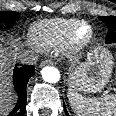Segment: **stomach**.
Here are the masks:
<instances>
[{"mask_svg":"<svg viewBox=\"0 0 116 116\" xmlns=\"http://www.w3.org/2000/svg\"><path fill=\"white\" fill-rule=\"evenodd\" d=\"M113 58L104 48L96 47L87 54L85 62L69 74V86L75 91L99 92L110 80Z\"/></svg>","mask_w":116,"mask_h":116,"instance_id":"obj_1","label":"stomach"}]
</instances>
